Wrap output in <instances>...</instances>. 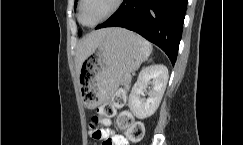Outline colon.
Instances as JSON below:
<instances>
[{"label":"colon","mask_w":243,"mask_h":145,"mask_svg":"<svg viewBox=\"0 0 243 145\" xmlns=\"http://www.w3.org/2000/svg\"><path fill=\"white\" fill-rule=\"evenodd\" d=\"M126 93L124 90H118L113 94L108 102L102 104L97 109V115L90 119L89 126L92 136L99 131L100 124H108V119L113 117L116 109L121 108L125 104ZM117 125L126 134V137L133 142L140 141L144 136V126L142 123L135 121L132 114L128 111L121 112L117 117ZM103 145H108L104 142Z\"/></svg>","instance_id":"5ec220e1"}]
</instances>
